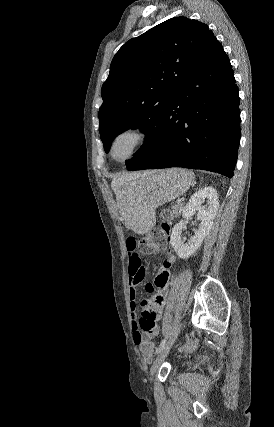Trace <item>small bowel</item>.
I'll return each mask as SVG.
<instances>
[{"mask_svg":"<svg viewBox=\"0 0 274 427\" xmlns=\"http://www.w3.org/2000/svg\"><path fill=\"white\" fill-rule=\"evenodd\" d=\"M126 251L134 252L135 246L128 245L126 246ZM129 297H130V308L132 313V325L134 329V342L135 344L141 346L145 338H152V336L160 335V327L157 323V320L163 319L164 304L163 301H157L158 298L164 299L168 293L167 284L173 282V277L169 275L168 269L173 265L175 261L174 254L170 253L167 255L163 266H159L158 270L154 272V277L152 280L146 282V287L148 293H143L140 295L141 307L142 310H151V311H141L139 314L137 323L134 319L138 307V295L136 287L139 282L147 276V267L148 263L139 264L141 262V257L135 253L130 254L129 256ZM142 327V332L138 327Z\"/></svg>","mask_w":274,"mask_h":427,"instance_id":"obj_1","label":"small bowel"}]
</instances>
